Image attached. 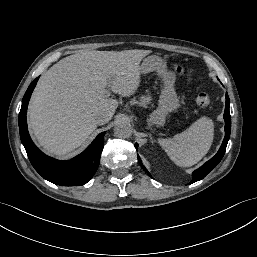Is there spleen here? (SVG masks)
<instances>
[{"mask_svg":"<svg viewBox=\"0 0 257 257\" xmlns=\"http://www.w3.org/2000/svg\"><path fill=\"white\" fill-rule=\"evenodd\" d=\"M213 139V121L207 117H202L173 138L160 140V144L176 165L190 167L198 163L208 153Z\"/></svg>","mask_w":257,"mask_h":257,"instance_id":"1","label":"spleen"}]
</instances>
